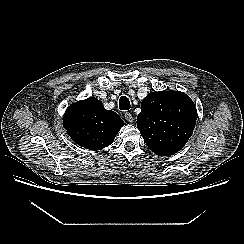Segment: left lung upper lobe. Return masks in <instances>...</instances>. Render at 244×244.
<instances>
[{
  "mask_svg": "<svg viewBox=\"0 0 244 244\" xmlns=\"http://www.w3.org/2000/svg\"><path fill=\"white\" fill-rule=\"evenodd\" d=\"M196 119V107L183 92H151L141 103L137 127L150 150L158 156H169L184 147Z\"/></svg>",
  "mask_w": 244,
  "mask_h": 244,
  "instance_id": "1",
  "label": "left lung upper lobe"
}]
</instances>
